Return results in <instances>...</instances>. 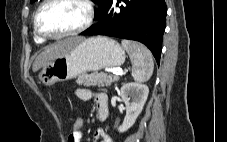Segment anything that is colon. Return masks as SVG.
I'll list each match as a JSON object with an SVG mask.
<instances>
[{
	"label": "colon",
	"instance_id": "obj_1",
	"mask_svg": "<svg viewBox=\"0 0 227 142\" xmlns=\"http://www.w3.org/2000/svg\"><path fill=\"white\" fill-rule=\"evenodd\" d=\"M84 129V121L81 116H76L73 120L72 125V134H79L83 132Z\"/></svg>",
	"mask_w": 227,
	"mask_h": 142
}]
</instances>
